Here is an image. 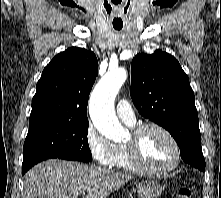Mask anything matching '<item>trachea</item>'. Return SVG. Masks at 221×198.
Masks as SVG:
<instances>
[{
  "label": "trachea",
  "instance_id": "1",
  "mask_svg": "<svg viewBox=\"0 0 221 198\" xmlns=\"http://www.w3.org/2000/svg\"><path fill=\"white\" fill-rule=\"evenodd\" d=\"M116 30H120L121 28L115 27Z\"/></svg>",
  "mask_w": 221,
  "mask_h": 198
}]
</instances>
